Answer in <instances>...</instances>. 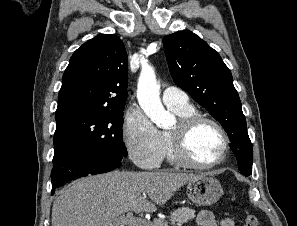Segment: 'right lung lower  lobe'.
<instances>
[{
	"label": "right lung lower lobe",
	"mask_w": 297,
	"mask_h": 226,
	"mask_svg": "<svg viewBox=\"0 0 297 226\" xmlns=\"http://www.w3.org/2000/svg\"><path fill=\"white\" fill-rule=\"evenodd\" d=\"M123 156L93 147H65L55 150L51 173L52 191L65 183L87 176L109 172L121 165Z\"/></svg>",
	"instance_id": "right-lung-lower-lobe-1"
}]
</instances>
